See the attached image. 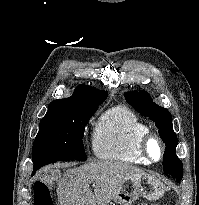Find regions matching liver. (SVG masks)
Segmentation results:
<instances>
[{
  "instance_id": "obj_1",
  "label": "liver",
  "mask_w": 199,
  "mask_h": 205,
  "mask_svg": "<svg viewBox=\"0 0 199 205\" xmlns=\"http://www.w3.org/2000/svg\"><path fill=\"white\" fill-rule=\"evenodd\" d=\"M53 173L59 175L57 195L61 205H108L126 177L146 175L135 166L113 161L89 162L68 168L62 175L59 170Z\"/></svg>"
}]
</instances>
